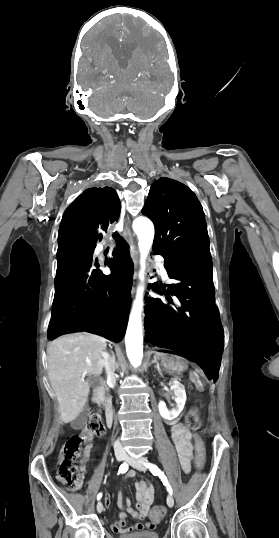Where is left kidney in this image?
Here are the masks:
<instances>
[{
    "label": "left kidney",
    "mask_w": 279,
    "mask_h": 538,
    "mask_svg": "<svg viewBox=\"0 0 279 538\" xmlns=\"http://www.w3.org/2000/svg\"><path fill=\"white\" fill-rule=\"evenodd\" d=\"M170 390L174 392L175 396L174 402H176V404L174 408H172V410H168L164 402H159L158 404L159 412L164 420H175V418L179 416L180 412H182L187 400L185 388L182 386V384H173Z\"/></svg>",
    "instance_id": "5707ae66"
}]
</instances>
